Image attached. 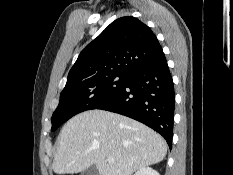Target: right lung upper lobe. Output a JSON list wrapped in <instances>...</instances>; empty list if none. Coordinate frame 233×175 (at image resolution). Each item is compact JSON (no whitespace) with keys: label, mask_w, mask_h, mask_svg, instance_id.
<instances>
[{"label":"right lung upper lobe","mask_w":233,"mask_h":175,"mask_svg":"<svg viewBox=\"0 0 233 175\" xmlns=\"http://www.w3.org/2000/svg\"><path fill=\"white\" fill-rule=\"evenodd\" d=\"M163 54L148 26L134 17H122L81 51L67 83L111 72L130 74Z\"/></svg>","instance_id":"cb5924a9"}]
</instances>
